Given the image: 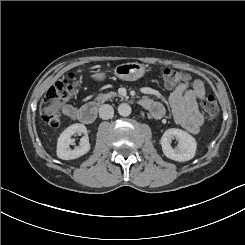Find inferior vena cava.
<instances>
[{
	"label": "inferior vena cava",
	"instance_id": "602c4592",
	"mask_svg": "<svg viewBox=\"0 0 245 245\" xmlns=\"http://www.w3.org/2000/svg\"><path fill=\"white\" fill-rule=\"evenodd\" d=\"M114 116V109L109 104L101 105L99 108V117L103 120L111 119Z\"/></svg>",
	"mask_w": 245,
	"mask_h": 245
}]
</instances>
